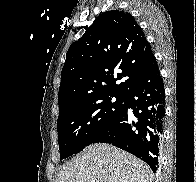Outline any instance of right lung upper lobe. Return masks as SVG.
Listing matches in <instances>:
<instances>
[{
	"mask_svg": "<svg viewBox=\"0 0 196 182\" xmlns=\"http://www.w3.org/2000/svg\"><path fill=\"white\" fill-rule=\"evenodd\" d=\"M133 16L111 10L99 15L68 49L61 72L59 113L100 96H125L155 62ZM122 70L117 75L116 70ZM117 80H122L116 84Z\"/></svg>",
	"mask_w": 196,
	"mask_h": 182,
	"instance_id": "cb5924a9",
	"label": "right lung upper lobe"
}]
</instances>
